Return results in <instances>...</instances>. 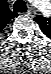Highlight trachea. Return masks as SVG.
Segmentation results:
<instances>
[{"label":"trachea","instance_id":"3493384b","mask_svg":"<svg viewBox=\"0 0 51 74\" xmlns=\"http://www.w3.org/2000/svg\"><path fill=\"white\" fill-rule=\"evenodd\" d=\"M27 9L26 3L23 0H17L13 5L14 12H21Z\"/></svg>","mask_w":51,"mask_h":74}]
</instances>
